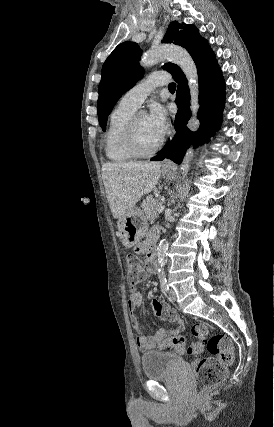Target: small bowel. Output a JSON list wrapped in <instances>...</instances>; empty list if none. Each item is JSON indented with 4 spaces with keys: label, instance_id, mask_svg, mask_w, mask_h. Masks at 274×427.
<instances>
[{
    "label": "small bowel",
    "instance_id": "c3829d8e",
    "mask_svg": "<svg viewBox=\"0 0 274 427\" xmlns=\"http://www.w3.org/2000/svg\"><path fill=\"white\" fill-rule=\"evenodd\" d=\"M157 230H153L149 239L143 241L138 246V251L140 253H144L151 243L154 241L156 237ZM146 271L148 274H153L157 267L153 266L148 260L145 262ZM168 300L167 299H152L151 306L154 308V312L152 313L153 319L159 318V313H167L168 312ZM143 305V296L138 290L132 291L127 299V307L130 311V323L131 327L136 333V344L138 349L143 352H149L154 350L157 347V344L166 338L174 337L179 335L185 329L184 320L175 313V316L171 319V321L177 323V327L175 329H160L153 336H146L141 327L138 318L135 315V311L139 310Z\"/></svg>",
    "mask_w": 274,
    "mask_h": 427
}]
</instances>
